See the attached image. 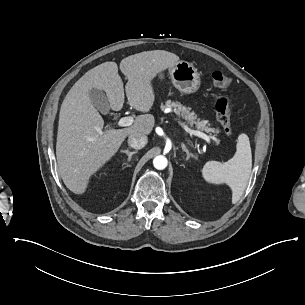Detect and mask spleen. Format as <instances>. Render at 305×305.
Returning a JSON list of instances; mask_svg holds the SVG:
<instances>
[{
	"label": "spleen",
	"instance_id": "spleen-1",
	"mask_svg": "<svg viewBox=\"0 0 305 305\" xmlns=\"http://www.w3.org/2000/svg\"><path fill=\"white\" fill-rule=\"evenodd\" d=\"M236 151L226 163L208 161L201 169V177L209 185H225L231 190V203L242 197L251 175L252 154L249 138L240 133L236 138Z\"/></svg>",
	"mask_w": 305,
	"mask_h": 305
}]
</instances>
